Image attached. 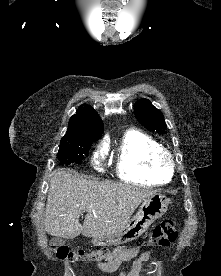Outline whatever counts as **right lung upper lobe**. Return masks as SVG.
<instances>
[{"instance_id": "obj_1", "label": "right lung upper lobe", "mask_w": 221, "mask_h": 276, "mask_svg": "<svg viewBox=\"0 0 221 276\" xmlns=\"http://www.w3.org/2000/svg\"><path fill=\"white\" fill-rule=\"evenodd\" d=\"M82 104L68 123V129L61 141L98 140L103 133V123L91 106Z\"/></svg>"}]
</instances>
